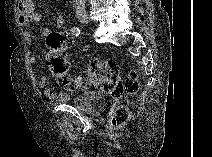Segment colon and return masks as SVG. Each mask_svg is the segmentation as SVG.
<instances>
[{
  "mask_svg": "<svg viewBox=\"0 0 212 157\" xmlns=\"http://www.w3.org/2000/svg\"><path fill=\"white\" fill-rule=\"evenodd\" d=\"M48 52L46 62L55 81L70 91L95 87L112 96L134 95L140 88L136 72L131 71L123 80L114 60L92 61L82 72L74 75L70 69L67 50L73 45L69 35L51 33L47 36ZM129 119V111L119 106L112 117L115 127L124 125Z\"/></svg>",
  "mask_w": 212,
  "mask_h": 157,
  "instance_id": "1",
  "label": "colon"
}]
</instances>
